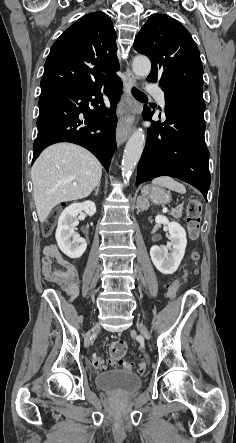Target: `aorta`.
<instances>
[{"label": "aorta", "instance_id": "obj_1", "mask_svg": "<svg viewBox=\"0 0 236 443\" xmlns=\"http://www.w3.org/2000/svg\"><path fill=\"white\" fill-rule=\"evenodd\" d=\"M132 69L135 75L147 77L151 71V62L145 56H136L132 61ZM145 144V134L142 129H138L129 138L122 160V174L129 178L135 169Z\"/></svg>", "mask_w": 236, "mask_h": 443}]
</instances>
